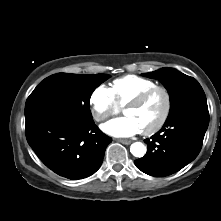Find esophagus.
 Returning <instances> with one entry per match:
<instances>
[{"mask_svg":"<svg viewBox=\"0 0 221 221\" xmlns=\"http://www.w3.org/2000/svg\"><path fill=\"white\" fill-rule=\"evenodd\" d=\"M117 141L125 145L131 144V140L128 139H118Z\"/></svg>","mask_w":221,"mask_h":221,"instance_id":"1","label":"esophagus"}]
</instances>
